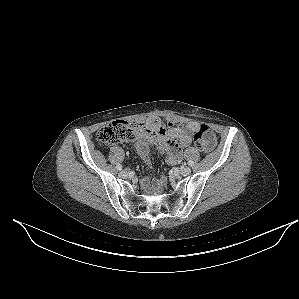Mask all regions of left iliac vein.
Here are the masks:
<instances>
[{"mask_svg":"<svg viewBox=\"0 0 299 299\" xmlns=\"http://www.w3.org/2000/svg\"><path fill=\"white\" fill-rule=\"evenodd\" d=\"M191 173V168L189 167H184L180 170V174L182 176H188Z\"/></svg>","mask_w":299,"mask_h":299,"instance_id":"obj_1","label":"left iliac vein"}]
</instances>
